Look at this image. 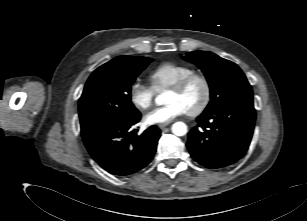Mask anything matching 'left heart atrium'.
Segmentation results:
<instances>
[{
  "mask_svg": "<svg viewBox=\"0 0 307 221\" xmlns=\"http://www.w3.org/2000/svg\"><path fill=\"white\" fill-rule=\"evenodd\" d=\"M186 112L180 103L173 101L152 110L145 116L144 120L149 125H160L168 123Z\"/></svg>",
  "mask_w": 307,
  "mask_h": 221,
  "instance_id": "1",
  "label": "left heart atrium"
}]
</instances>
